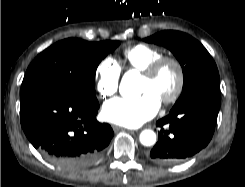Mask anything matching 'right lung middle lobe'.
Listing matches in <instances>:
<instances>
[{"label": "right lung middle lobe", "instance_id": "dd1d6c3e", "mask_svg": "<svg viewBox=\"0 0 245 187\" xmlns=\"http://www.w3.org/2000/svg\"><path fill=\"white\" fill-rule=\"evenodd\" d=\"M119 44V41L87 42L76 38L57 42L41 52L28 67L20 98L38 91L56 90L97 103L96 69Z\"/></svg>", "mask_w": 245, "mask_h": 187}]
</instances>
